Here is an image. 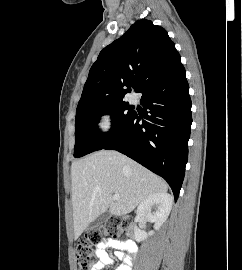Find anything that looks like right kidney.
<instances>
[{
    "label": "right kidney",
    "mask_w": 242,
    "mask_h": 270,
    "mask_svg": "<svg viewBox=\"0 0 242 270\" xmlns=\"http://www.w3.org/2000/svg\"><path fill=\"white\" fill-rule=\"evenodd\" d=\"M173 199L168 193H154L146 197L138 206L136 211L135 222L142 220L154 223V229L158 230L162 224L167 220L172 209ZM157 206V210L151 213V208ZM135 239L137 242L145 240L148 236L154 234V231L146 233L144 230L138 228L134 229Z\"/></svg>",
    "instance_id": "obj_1"
}]
</instances>
